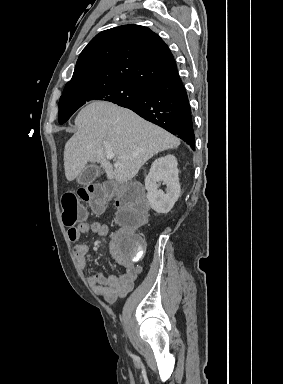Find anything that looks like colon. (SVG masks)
<instances>
[{
  "mask_svg": "<svg viewBox=\"0 0 283 384\" xmlns=\"http://www.w3.org/2000/svg\"><path fill=\"white\" fill-rule=\"evenodd\" d=\"M79 199L86 202L95 213L103 212L114 201L119 229L113 236V242L120 255L130 261H138L144 256L145 244L136 230L144 222L147 204L139 186L131 183H96L80 188L77 193H65L62 196V218L66 226L74 227L87 216Z\"/></svg>",
  "mask_w": 283,
  "mask_h": 384,
  "instance_id": "colon-1",
  "label": "colon"
}]
</instances>
